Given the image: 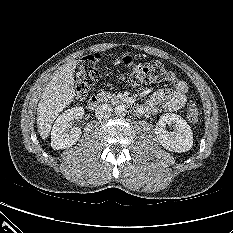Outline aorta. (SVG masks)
<instances>
[{
  "instance_id": "1",
  "label": "aorta",
  "mask_w": 233,
  "mask_h": 233,
  "mask_svg": "<svg viewBox=\"0 0 233 233\" xmlns=\"http://www.w3.org/2000/svg\"><path fill=\"white\" fill-rule=\"evenodd\" d=\"M114 111L117 116H125L127 113L126 106L123 104L117 105Z\"/></svg>"
}]
</instances>
